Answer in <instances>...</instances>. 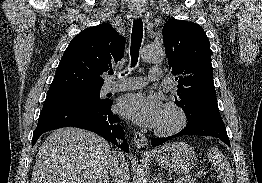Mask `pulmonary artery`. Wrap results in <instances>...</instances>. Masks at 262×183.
Segmentation results:
<instances>
[{"mask_svg": "<svg viewBox=\"0 0 262 183\" xmlns=\"http://www.w3.org/2000/svg\"><path fill=\"white\" fill-rule=\"evenodd\" d=\"M162 78V72L159 68H152L149 71V80L150 81H159ZM146 84L145 77H128L123 78L121 81L112 82L106 86L107 92H117L125 90H134L138 89Z\"/></svg>", "mask_w": 262, "mask_h": 183, "instance_id": "1", "label": "pulmonary artery"}]
</instances>
